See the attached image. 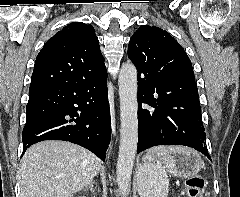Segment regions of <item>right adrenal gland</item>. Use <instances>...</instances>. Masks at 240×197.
Instances as JSON below:
<instances>
[{
	"instance_id": "1",
	"label": "right adrenal gland",
	"mask_w": 240,
	"mask_h": 197,
	"mask_svg": "<svg viewBox=\"0 0 240 197\" xmlns=\"http://www.w3.org/2000/svg\"><path fill=\"white\" fill-rule=\"evenodd\" d=\"M86 190H90L94 195L97 194V193H96V190H95V188H94V183H91L89 186L85 187V188H84V191H86Z\"/></svg>"
}]
</instances>
